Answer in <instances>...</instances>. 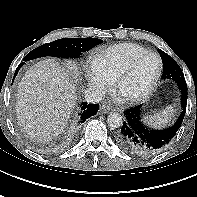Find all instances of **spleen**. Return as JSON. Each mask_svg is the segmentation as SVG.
Listing matches in <instances>:
<instances>
[{"instance_id": "1", "label": "spleen", "mask_w": 197, "mask_h": 197, "mask_svg": "<svg viewBox=\"0 0 197 197\" xmlns=\"http://www.w3.org/2000/svg\"><path fill=\"white\" fill-rule=\"evenodd\" d=\"M173 107L167 106L164 110L154 115L146 116L143 119V122L152 128H162L165 127L172 119L173 116Z\"/></svg>"}]
</instances>
